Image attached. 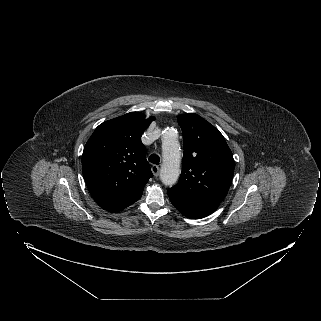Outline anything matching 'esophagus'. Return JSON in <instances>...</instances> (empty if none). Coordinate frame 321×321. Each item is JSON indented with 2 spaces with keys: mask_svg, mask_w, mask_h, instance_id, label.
Segmentation results:
<instances>
[{
  "mask_svg": "<svg viewBox=\"0 0 321 321\" xmlns=\"http://www.w3.org/2000/svg\"><path fill=\"white\" fill-rule=\"evenodd\" d=\"M151 170L155 177L159 176L160 167L158 165H152Z\"/></svg>",
  "mask_w": 321,
  "mask_h": 321,
  "instance_id": "1",
  "label": "esophagus"
}]
</instances>
